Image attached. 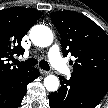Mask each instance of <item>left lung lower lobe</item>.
<instances>
[{
    "label": "left lung lower lobe",
    "mask_w": 108,
    "mask_h": 108,
    "mask_svg": "<svg viewBox=\"0 0 108 108\" xmlns=\"http://www.w3.org/2000/svg\"><path fill=\"white\" fill-rule=\"evenodd\" d=\"M60 81V89L49 95L50 108H95L108 91V78L72 73Z\"/></svg>",
    "instance_id": "obj_1"
}]
</instances>
